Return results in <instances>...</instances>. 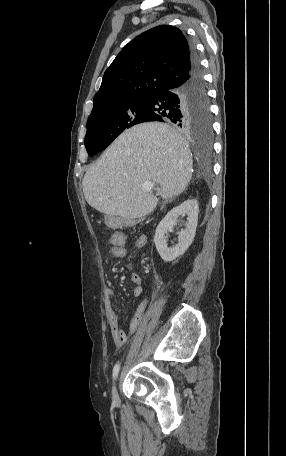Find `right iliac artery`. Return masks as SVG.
I'll return each mask as SVG.
<instances>
[{
	"label": "right iliac artery",
	"instance_id": "1",
	"mask_svg": "<svg viewBox=\"0 0 286 456\" xmlns=\"http://www.w3.org/2000/svg\"><path fill=\"white\" fill-rule=\"evenodd\" d=\"M120 365L116 364L113 368V378H116L119 373Z\"/></svg>",
	"mask_w": 286,
	"mask_h": 456
}]
</instances>
